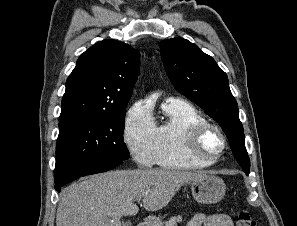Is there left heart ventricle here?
<instances>
[{
    "label": "left heart ventricle",
    "mask_w": 297,
    "mask_h": 226,
    "mask_svg": "<svg viewBox=\"0 0 297 226\" xmlns=\"http://www.w3.org/2000/svg\"><path fill=\"white\" fill-rule=\"evenodd\" d=\"M220 147V141L214 133L208 134L202 141V150L210 155H215Z\"/></svg>",
    "instance_id": "obj_1"
}]
</instances>
